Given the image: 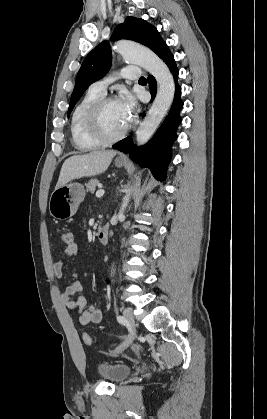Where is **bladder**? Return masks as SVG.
Masks as SVG:
<instances>
[{"mask_svg":"<svg viewBox=\"0 0 267 419\" xmlns=\"http://www.w3.org/2000/svg\"><path fill=\"white\" fill-rule=\"evenodd\" d=\"M97 373L107 382L119 383L129 376L131 367L121 363L100 361L97 364Z\"/></svg>","mask_w":267,"mask_h":419,"instance_id":"obj_1","label":"bladder"}]
</instances>
